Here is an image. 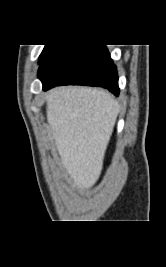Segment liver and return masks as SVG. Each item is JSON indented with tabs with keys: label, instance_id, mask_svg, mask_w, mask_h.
<instances>
[{
	"label": "liver",
	"instance_id": "obj_1",
	"mask_svg": "<svg viewBox=\"0 0 166 267\" xmlns=\"http://www.w3.org/2000/svg\"><path fill=\"white\" fill-rule=\"evenodd\" d=\"M47 121L62 165L78 189L100 177L119 106L103 90L59 87L48 92Z\"/></svg>",
	"mask_w": 166,
	"mask_h": 267
}]
</instances>
